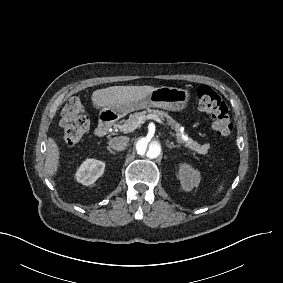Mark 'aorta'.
I'll return each instance as SVG.
<instances>
[{"label": "aorta", "instance_id": "1", "mask_svg": "<svg viewBox=\"0 0 283 283\" xmlns=\"http://www.w3.org/2000/svg\"><path fill=\"white\" fill-rule=\"evenodd\" d=\"M134 148L140 161L153 163L162 157L163 141L160 136L148 133L136 139Z\"/></svg>", "mask_w": 283, "mask_h": 283}]
</instances>
